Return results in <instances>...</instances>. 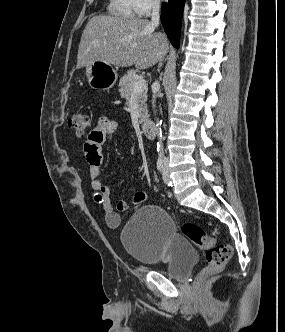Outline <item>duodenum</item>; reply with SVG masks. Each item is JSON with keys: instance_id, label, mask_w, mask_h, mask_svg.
<instances>
[{"instance_id": "1", "label": "duodenum", "mask_w": 285, "mask_h": 332, "mask_svg": "<svg viewBox=\"0 0 285 332\" xmlns=\"http://www.w3.org/2000/svg\"><path fill=\"white\" fill-rule=\"evenodd\" d=\"M142 132L146 138H148V139L154 138V136H155L154 124L150 121L145 122L142 125Z\"/></svg>"}]
</instances>
